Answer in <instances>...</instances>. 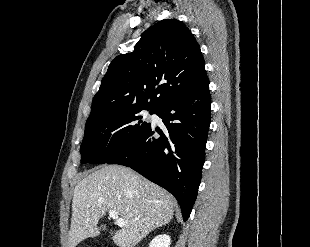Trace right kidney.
<instances>
[{
	"mask_svg": "<svg viewBox=\"0 0 310 247\" xmlns=\"http://www.w3.org/2000/svg\"><path fill=\"white\" fill-rule=\"evenodd\" d=\"M171 238L167 234L156 236L149 244V247H170Z\"/></svg>",
	"mask_w": 310,
	"mask_h": 247,
	"instance_id": "1",
	"label": "right kidney"
}]
</instances>
